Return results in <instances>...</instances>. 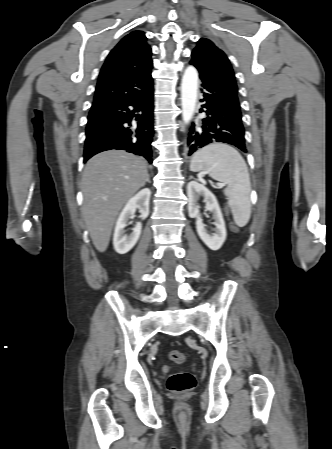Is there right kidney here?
Instances as JSON below:
<instances>
[{"label": "right kidney", "instance_id": "ca27d5eb", "mask_svg": "<svg viewBox=\"0 0 332 449\" xmlns=\"http://www.w3.org/2000/svg\"><path fill=\"white\" fill-rule=\"evenodd\" d=\"M150 196V189H142L127 202L120 213L116 222L113 236V246L117 253L125 254L129 252L137 243L141 234L142 224L138 222L132 229V233L129 235L125 234L124 228L127 226L128 220L134 216L136 209L140 210V218L142 220L148 217Z\"/></svg>", "mask_w": 332, "mask_h": 449}]
</instances>
